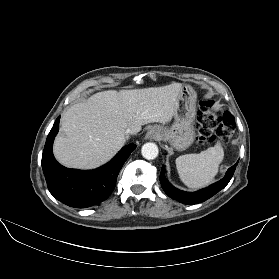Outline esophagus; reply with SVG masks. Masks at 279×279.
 Wrapping results in <instances>:
<instances>
[{
  "mask_svg": "<svg viewBox=\"0 0 279 279\" xmlns=\"http://www.w3.org/2000/svg\"><path fill=\"white\" fill-rule=\"evenodd\" d=\"M159 136L158 132L155 129H150L145 135L146 139H155Z\"/></svg>",
  "mask_w": 279,
  "mask_h": 279,
  "instance_id": "esophagus-1",
  "label": "esophagus"
}]
</instances>
